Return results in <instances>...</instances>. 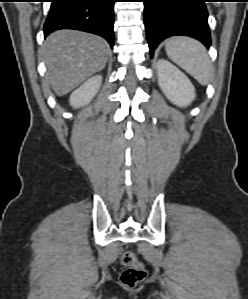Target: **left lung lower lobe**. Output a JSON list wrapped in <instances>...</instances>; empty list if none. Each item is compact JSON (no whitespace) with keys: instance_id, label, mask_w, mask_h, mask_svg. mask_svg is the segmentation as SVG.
<instances>
[{"instance_id":"1","label":"left lung lower lobe","mask_w":248,"mask_h":299,"mask_svg":"<svg viewBox=\"0 0 248 299\" xmlns=\"http://www.w3.org/2000/svg\"><path fill=\"white\" fill-rule=\"evenodd\" d=\"M144 22L150 52L170 36L193 37L211 45L206 0H143Z\"/></svg>"}]
</instances>
